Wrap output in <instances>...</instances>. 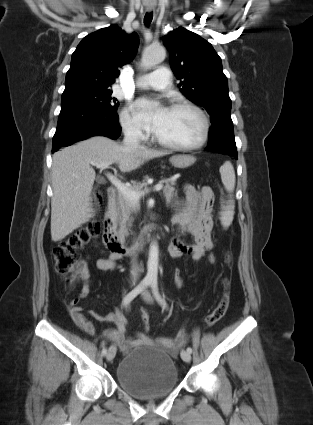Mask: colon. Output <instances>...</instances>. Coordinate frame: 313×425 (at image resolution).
<instances>
[{"mask_svg": "<svg viewBox=\"0 0 313 425\" xmlns=\"http://www.w3.org/2000/svg\"><path fill=\"white\" fill-rule=\"evenodd\" d=\"M96 197L98 200H101V195L99 193L96 194ZM99 231V222L96 220L90 221L86 225L72 232L53 248L52 254L56 271L67 279L69 285H72L77 279L83 278L85 263L81 260L79 251L92 239H94L99 234ZM207 259L210 263H214L216 256L213 253H210ZM225 262H230V254L228 253L225 256ZM173 281L178 289L185 286V277L180 270L175 271ZM222 286L223 295L218 305L205 318V321L209 326H212L221 320L229 306V281L226 279L223 280ZM143 328L144 330H148L149 328V316L147 314L143 316Z\"/></svg>", "mask_w": 313, "mask_h": 425, "instance_id": "5ec220e1", "label": "colon"}]
</instances>
